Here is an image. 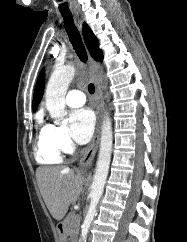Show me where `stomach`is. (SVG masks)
Segmentation results:
<instances>
[{
    "label": "stomach",
    "instance_id": "obj_1",
    "mask_svg": "<svg viewBox=\"0 0 187 242\" xmlns=\"http://www.w3.org/2000/svg\"><path fill=\"white\" fill-rule=\"evenodd\" d=\"M58 235H59L60 242H66L67 235H66V233L64 231V228L61 227V226L58 228Z\"/></svg>",
    "mask_w": 187,
    "mask_h": 242
}]
</instances>
